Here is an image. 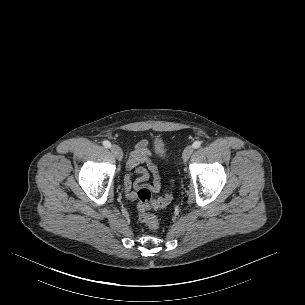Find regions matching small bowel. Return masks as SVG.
Returning <instances> with one entry per match:
<instances>
[{
    "instance_id": "1",
    "label": "small bowel",
    "mask_w": 305,
    "mask_h": 305,
    "mask_svg": "<svg viewBox=\"0 0 305 305\" xmlns=\"http://www.w3.org/2000/svg\"><path fill=\"white\" fill-rule=\"evenodd\" d=\"M142 163H147L153 173V184L151 186L154 192L159 190V176L157 173L156 165L153 162V153L149 149V142L146 139L139 141L132 152L130 153L128 160V169L130 173L126 176L124 182L125 195L129 200H135L137 194L134 190H139L144 186V182L148 176L144 169L138 168ZM136 172L140 176L136 180H132L133 173Z\"/></svg>"
}]
</instances>
